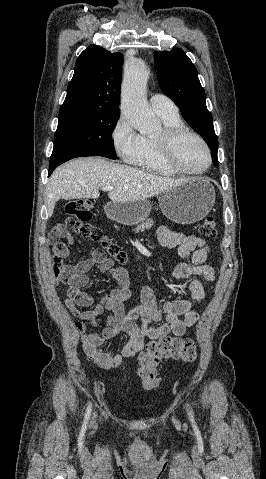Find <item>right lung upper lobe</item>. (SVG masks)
I'll list each match as a JSON object with an SVG mask.
<instances>
[{
	"instance_id": "obj_1",
	"label": "right lung upper lobe",
	"mask_w": 266,
	"mask_h": 479,
	"mask_svg": "<svg viewBox=\"0 0 266 479\" xmlns=\"http://www.w3.org/2000/svg\"><path fill=\"white\" fill-rule=\"evenodd\" d=\"M122 54L97 45L78 57L59 115L67 113L120 114Z\"/></svg>"
}]
</instances>
